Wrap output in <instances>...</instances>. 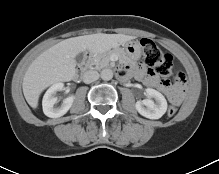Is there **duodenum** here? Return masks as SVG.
Returning a JSON list of instances; mask_svg holds the SVG:
<instances>
[{"label":"duodenum","mask_w":219,"mask_h":174,"mask_svg":"<svg viewBox=\"0 0 219 174\" xmlns=\"http://www.w3.org/2000/svg\"><path fill=\"white\" fill-rule=\"evenodd\" d=\"M90 58H91V54H90V53H87V55H86V59H85L83 65H82V66L80 67V69H79L80 71H83V70L86 69L87 64H88Z\"/></svg>","instance_id":"1"}]
</instances>
